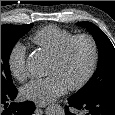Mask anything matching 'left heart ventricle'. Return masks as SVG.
<instances>
[{
	"label": "left heart ventricle",
	"instance_id": "b2bd125f",
	"mask_svg": "<svg viewBox=\"0 0 115 115\" xmlns=\"http://www.w3.org/2000/svg\"><path fill=\"white\" fill-rule=\"evenodd\" d=\"M91 63V48L86 41L75 42L61 63L50 61L47 75L58 76L66 86L79 82L87 73Z\"/></svg>",
	"mask_w": 115,
	"mask_h": 115
}]
</instances>
